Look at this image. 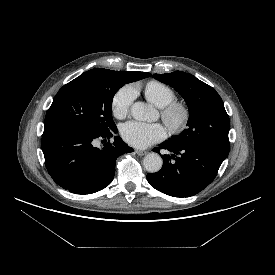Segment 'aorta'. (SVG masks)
<instances>
[{"label":"aorta","mask_w":275,"mask_h":275,"mask_svg":"<svg viewBox=\"0 0 275 275\" xmlns=\"http://www.w3.org/2000/svg\"><path fill=\"white\" fill-rule=\"evenodd\" d=\"M131 115L139 121L154 120L156 118V110L144 102H135L131 107ZM143 165L148 172L156 173L161 170L163 160L159 154L152 152L144 157Z\"/></svg>","instance_id":"1"}]
</instances>
